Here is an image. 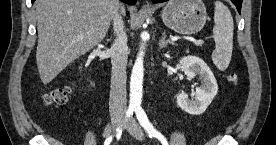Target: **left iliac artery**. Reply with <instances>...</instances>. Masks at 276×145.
Segmentation results:
<instances>
[{
	"label": "left iliac artery",
	"mask_w": 276,
	"mask_h": 145,
	"mask_svg": "<svg viewBox=\"0 0 276 145\" xmlns=\"http://www.w3.org/2000/svg\"><path fill=\"white\" fill-rule=\"evenodd\" d=\"M136 117L140 123V125L145 129L148 133L149 137H156L163 145H168L166 138L158 132L154 126L150 123L145 111L142 107L138 106L135 108Z\"/></svg>",
	"instance_id": "44dca946"
}]
</instances>
